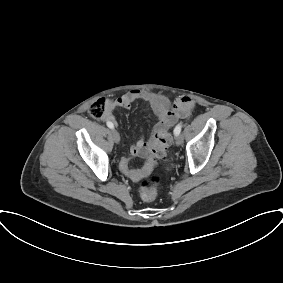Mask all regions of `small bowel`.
<instances>
[{
    "instance_id": "obj_1",
    "label": "small bowel",
    "mask_w": 283,
    "mask_h": 283,
    "mask_svg": "<svg viewBox=\"0 0 283 283\" xmlns=\"http://www.w3.org/2000/svg\"><path fill=\"white\" fill-rule=\"evenodd\" d=\"M147 102L154 114L158 118V123L156 124L154 131L158 132L164 125L168 123H173L175 119L184 117L188 114L190 108L192 107V101L188 97H180L176 100V105L173 106L171 103L163 97L148 94L139 90H134L124 94L123 96L108 100L106 107L107 111L105 114V119L108 122L115 123V117L113 112L119 108H130L136 101ZM185 105V109L180 111L177 106ZM147 148V142L141 137L136 142L132 143L129 147V156L123 158L119 163L120 171L130 179L138 181L143 178L147 173L146 167L132 168L130 165V160L132 156L144 155Z\"/></svg>"
}]
</instances>
